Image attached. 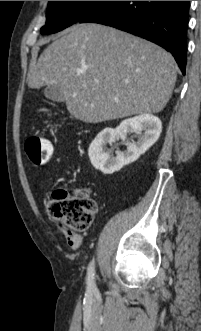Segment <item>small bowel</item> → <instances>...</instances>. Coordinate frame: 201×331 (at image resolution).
I'll use <instances>...</instances> for the list:
<instances>
[{
    "label": "small bowel",
    "mask_w": 201,
    "mask_h": 331,
    "mask_svg": "<svg viewBox=\"0 0 201 331\" xmlns=\"http://www.w3.org/2000/svg\"><path fill=\"white\" fill-rule=\"evenodd\" d=\"M67 241L73 249H77L81 244V237L73 232L66 233Z\"/></svg>",
    "instance_id": "c3829d8e"
}]
</instances>
